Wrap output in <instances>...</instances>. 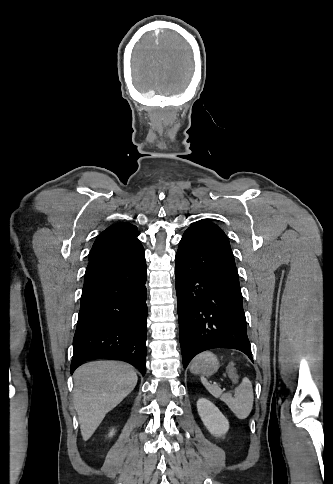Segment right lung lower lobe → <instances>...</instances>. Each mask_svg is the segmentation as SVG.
<instances>
[{
    "label": "right lung lower lobe",
    "mask_w": 333,
    "mask_h": 484,
    "mask_svg": "<svg viewBox=\"0 0 333 484\" xmlns=\"http://www.w3.org/2000/svg\"><path fill=\"white\" fill-rule=\"evenodd\" d=\"M147 278L143 247L89 260L73 340L70 371L109 358L146 369Z\"/></svg>",
    "instance_id": "1"
}]
</instances>
